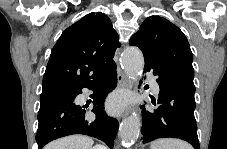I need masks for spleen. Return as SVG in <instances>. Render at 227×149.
<instances>
[{"label": "spleen", "instance_id": "obj_1", "mask_svg": "<svg viewBox=\"0 0 227 149\" xmlns=\"http://www.w3.org/2000/svg\"><path fill=\"white\" fill-rule=\"evenodd\" d=\"M150 149H192V147L178 139L162 138L153 141Z\"/></svg>", "mask_w": 227, "mask_h": 149}]
</instances>
